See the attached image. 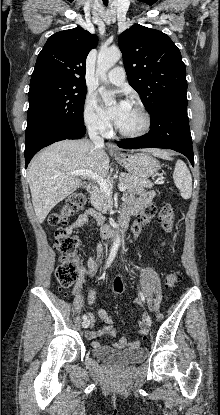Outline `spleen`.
Instances as JSON below:
<instances>
[{"label": "spleen", "instance_id": "obj_1", "mask_svg": "<svg viewBox=\"0 0 220 415\" xmlns=\"http://www.w3.org/2000/svg\"><path fill=\"white\" fill-rule=\"evenodd\" d=\"M152 154L156 157L166 160H172L171 154L163 150H152ZM174 182L176 187L180 190L181 196L184 199H189L192 194V177L186 164L182 160H177L174 174Z\"/></svg>", "mask_w": 220, "mask_h": 415}]
</instances>
